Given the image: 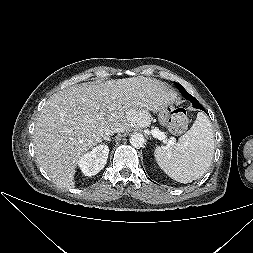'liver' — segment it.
Listing matches in <instances>:
<instances>
[{"instance_id":"1","label":"liver","mask_w":253,"mask_h":253,"mask_svg":"<svg viewBox=\"0 0 253 253\" xmlns=\"http://www.w3.org/2000/svg\"><path fill=\"white\" fill-rule=\"evenodd\" d=\"M176 98L159 80L142 76L59 91L47 100L35 124L37 162L57 186L74 188L79 159L107 130L148 126V111L158 112Z\"/></svg>"}]
</instances>
